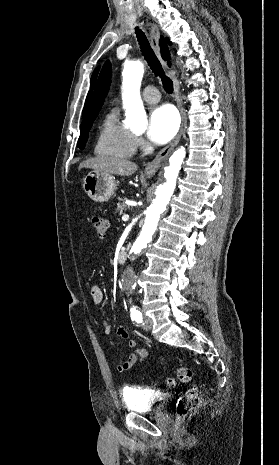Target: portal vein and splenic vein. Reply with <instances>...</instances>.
Returning a JSON list of instances; mask_svg holds the SVG:
<instances>
[{"instance_id": "obj_1", "label": "portal vein and splenic vein", "mask_w": 279, "mask_h": 465, "mask_svg": "<svg viewBox=\"0 0 279 465\" xmlns=\"http://www.w3.org/2000/svg\"><path fill=\"white\" fill-rule=\"evenodd\" d=\"M129 220V215L125 214L122 216V221L126 222Z\"/></svg>"}]
</instances>
